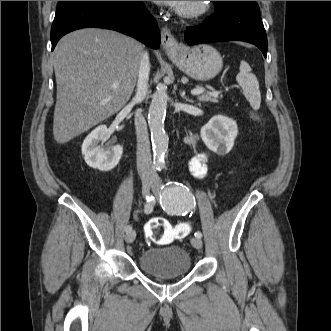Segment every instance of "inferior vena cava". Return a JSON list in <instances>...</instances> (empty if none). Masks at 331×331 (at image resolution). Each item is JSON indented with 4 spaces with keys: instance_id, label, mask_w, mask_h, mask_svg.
Segmentation results:
<instances>
[{
    "instance_id": "obj_1",
    "label": "inferior vena cava",
    "mask_w": 331,
    "mask_h": 331,
    "mask_svg": "<svg viewBox=\"0 0 331 331\" xmlns=\"http://www.w3.org/2000/svg\"><path fill=\"white\" fill-rule=\"evenodd\" d=\"M150 64L149 56L147 52H144L140 62L137 90L136 95L133 98V103H140L144 100L149 80ZM135 129L137 137V169L140 176H153L155 177V170L152 165L151 153H150V141L147 131V124L145 118L141 113H136Z\"/></svg>"
}]
</instances>
